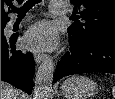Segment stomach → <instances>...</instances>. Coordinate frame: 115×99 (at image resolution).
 <instances>
[{"instance_id": "obj_1", "label": "stomach", "mask_w": 115, "mask_h": 99, "mask_svg": "<svg viewBox=\"0 0 115 99\" xmlns=\"http://www.w3.org/2000/svg\"><path fill=\"white\" fill-rule=\"evenodd\" d=\"M95 89V83L85 76H72L61 87L67 99H86L94 94Z\"/></svg>"}]
</instances>
